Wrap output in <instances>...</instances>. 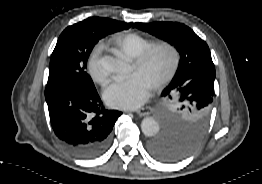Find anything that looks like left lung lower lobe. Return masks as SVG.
Wrapping results in <instances>:
<instances>
[{"mask_svg": "<svg viewBox=\"0 0 262 184\" xmlns=\"http://www.w3.org/2000/svg\"><path fill=\"white\" fill-rule=\"evenodd\" d=\"M148 152L162 162H174L190 154L193 150L186 144L168 138L164 133L151 141Z\"/></svg>", "mask_w": 262, "mask_h": 184, "instance_id": "0a47b994", "label": "left lung lower lobe"}]
</instances>
